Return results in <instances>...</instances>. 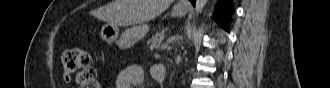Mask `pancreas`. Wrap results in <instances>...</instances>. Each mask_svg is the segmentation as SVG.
<instances>
[{
  "instance_id": "obj_1",
  "label": "pancreas",
  "mask_w": 330,
  "mask_h": 88,
  "mask_svg": "<svg viewBox=\"0 0 330 88\" xmlns=\"http://www.w3.org/2000/svg\"><path fill=\"white\" fill-rule=\"evenodd\" d=\"M164 32H165V30H163L161 32H156L152 36V38L147 42V44L150 45L149 48L151 50H153V49H169V46L167 44L162 43Z\"/></svg>"
}]
</instances>
